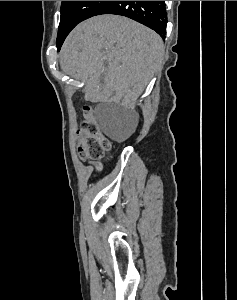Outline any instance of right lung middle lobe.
<instances>
[{
  "label": "right lung middle lobe",
  "mask_w": 237,
  "mask_h": 300,
  "mask_svg": "<svg viewBox=\"0 0 237 300\" xmlns=\"http://www.w3.org/2000/svg\"><path fill=\"white\" fill-rule=\"evenodd\" d=\"M109 1H62L57 35L58 50L69 32L81 21L95 16Z\"/></svg>",
  "instance_id": "dd1d6c3e"
}]
</instances>
